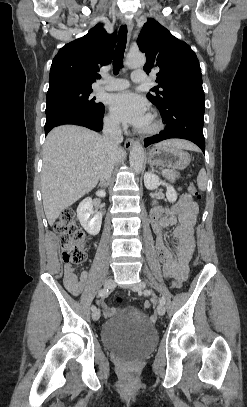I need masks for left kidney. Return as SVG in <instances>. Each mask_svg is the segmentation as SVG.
I'll use <instances>...</instances> for the list:
<instances>
[{
  "label": "left kidney",
  "mask_w": 247,
  "mask_h": 407,
  "mask_svg": "<svg viewBox=\"0 0 247 407\" xmlns=\"http://www.w3.org/2000/svg\"><path fill=\"white\" fill-rule=\"evenodd\" d=\"M144 184L148 190L157 189L160 185L166 186V197L168 201L175 202L177 199V192L175 191V189L171 185L165 183L164 181H161L159 177L153 173L147 172L144 175Z\"/></svg>",
  "instance_id": "obj_1"
}]
</instances>
